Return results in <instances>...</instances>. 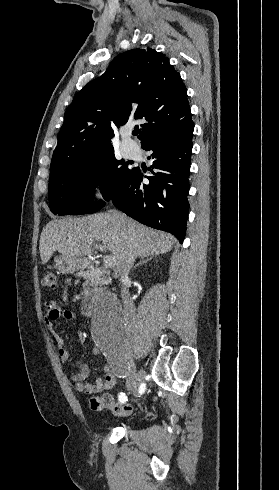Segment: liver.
<instances>
[{
	"instance_id": "1",
	"label": "liver",
	"mask_w": 279,
	"mask_h": 490,
	"mask_svg": "<svg viewBox=\"0 0 279 490\" xmlns=\"http://www.w3.org/2000/svg\"><path fill=\"white\" fill-rule=\"evenodd\" d=\"M118 224L113 214L52 220L41 232V264H47L54 252H59L67 258L83 260V256H89L94 252V242H102V248L110 252L116 262L114 272L118 276L125 266L130 250H134L138 258L143 260L148 256H160L170 252L176 242L171 234L146 228L127 216L124 226Z\"/></svg>"
}]
</instances>
